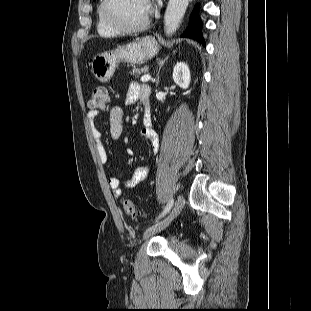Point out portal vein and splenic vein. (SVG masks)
I'll use <instances>...</instances> for the list:
<instances>
[{"label": "portal vein and splenic vein", "instance_id": "18ae733b", "mask_svg": "<svg viewBox=\"0 0 311 311\" xmlns=\"http://www.w3.org/2000/svg\"><path fill=\"white\" fill-rule=\"evenodd\" d=\"M150 79H151V76H150L149 74L143 75V76L141 77V81H142V82H148Z\"/></svg>", "mask_w": 311, "mask_h": 311}]
</instances>
